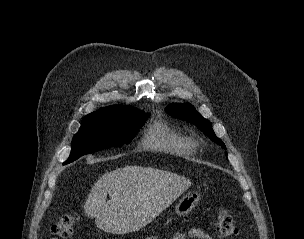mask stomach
Here are the masks:
<instances>
[{
	"mask_svg": "<svg viewBox=\"0 0 304 239\" xmlns=\"http://www.w3.org/2000/svg\"><path fill=\"white\" fill-rule=\"evenodd\" d=\"M201 195L198 192H189L185 194L175 205V213L179 216L188 214L199 202Z\"/></svg>",
	"mask_w": 304,
	"mask_h": 239,
	"instance_id": "stomach-1",
	"label": "stomach"
}]
</instances>
